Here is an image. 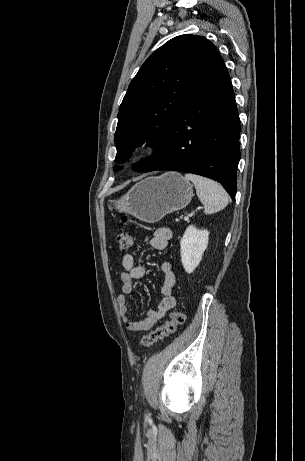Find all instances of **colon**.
Instances as JSON below:
<instances>
[{"label":"colon","mask_w":305,"mask_h":461,"mask_svg":"<svg viewBox=\"0 0 305 461\" xmlns=\"http://www.w3.org/2000/svg\"><path fill=\"white\" fill-rule=\"evenodd\" d=\"M122 221L126 223L128 221L127 216L122 217ZM116 240L118 246L121 250H127L131 247L133 243L132 235L125 230H121L116 235ZM185 318L181 310L177 309L171 313L169 319L162 324L160 327L156 328L154 331L143 336L139 342L140 347H150L159 340H162L172 333L175 332L176 328L183 324Z\"/></svg>","instance_id":"1"}]
</instances>
